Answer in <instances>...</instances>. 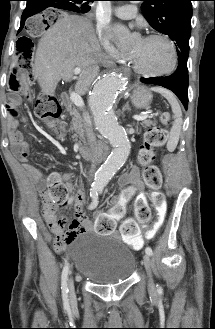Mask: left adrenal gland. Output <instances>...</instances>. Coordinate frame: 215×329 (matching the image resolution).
<instances>
[{"label":"left adrenal gland","mask_w":215,"mask_h":329,"mask_svg":"<svg viewBox=\"0 0 215 329\" xmlns=\"http://www.w3.org/2000/svg\"><path fill=\"white\" fill-rule=\"evenodd\" d=\"M125 111H130V107H129V102H128V101L125 103L124 107L122 108V114H123Z\"/></svg>","instance_id":"1"}]
</instances>
